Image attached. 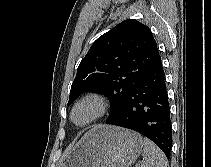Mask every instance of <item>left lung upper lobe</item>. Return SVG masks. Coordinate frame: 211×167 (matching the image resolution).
Listing matches in <instances>:
<instances>
[{
  "instance_id": "5c2ea615",
  "label": "left lung upper lobe",
  "mask_w": 211,
  "mask_h": 167,
  "mask_svg": "<svg viewBox=\"0 0 211 167\" xmlns=\"http://www.w3.org/2000/svg\"><path fill=\"white\" fill-rule=\"evenodd\" d=\"M159 56L148 26L127 19L100 36L80 62L68 105L83 92L105 94L115 117L130 93Z\"/></svg>"
}]
</instances>
